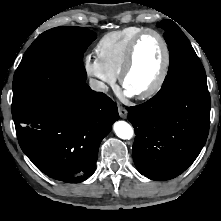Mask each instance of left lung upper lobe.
I'll return each mask as SVG.
<instances>
[{"label":"left lung upper lobe","mask_w":221,"mask_h":221,"mask_svg":"<svg viewBox=\"0 0 221 221\" xmlns=\"http://www.w3.org/2000/svg\"><path fill=\"white\" fill-rule=\"evenodd\" d=\"M165 30L164 38L168 44L170 64L162 86L173 82H189L206 86V73L186 35L171 20L157 24Z\"/></svg>","instance_id":"obj_1"}]
</instances>
